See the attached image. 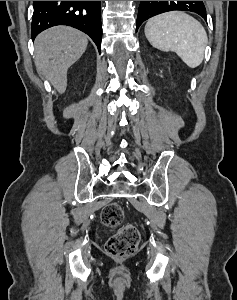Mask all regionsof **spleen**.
I'll list each match as a JSON object with an SVG mask.
<instances>
[{
    "mask_svg": "<svg viewBox=\"0 0 237 300\" xmlns=\"http://www.w3.org/2000/svg\"><path fill=\"white\" fill-rule=\"evenodd\" d=\"M144 33L152 47L159 51H174L183 63L195 69L204 59L207 33L199 21L182 13L170 11L148 19Z\"/></svg>",
    "mask_w": 237,
    "mask_h": 300,
    "instance_id": "obj_1",
    "label": "spleen"
}]
</instances>
